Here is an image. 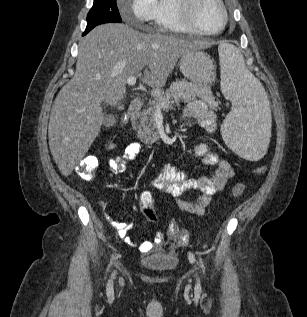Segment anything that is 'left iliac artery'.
<instances>
[{
	"label": "left iliac artery",
	"instance_id": "1",
	"mask_svg": "<svg viewBox=\"0 0 307 317\" xmlns=\"http://www.w3.org/2000/svg\"><path fill=\"white\" fill-rule=\"evenodd\" d=\"M200 265H201V267H202L203 272H205V267H204V264H203L202 258H200Z\"/></svg>",
	"mask_w": 307,
	"mask_h": 317
}]
</instances>
